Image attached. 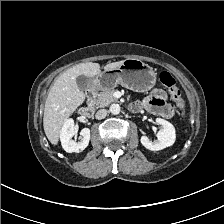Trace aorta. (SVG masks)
<instances>
[{
	"mask_svg": "<svg viewBox=\"0 0 224 224\" xmlns=\"http://www.w3.org/2000/svg\"><path fill=\"white\" fill-rule=\"evenodd\" d=\"M110 112L113 114V115H117L120 113V106L119 104H112L110 106Z\"/></svg>",
	"mask_w": 224,
	"mask_h": 224,
	"instance_id": "obj_1",
	"label": "aorta"
}]
</instances>
